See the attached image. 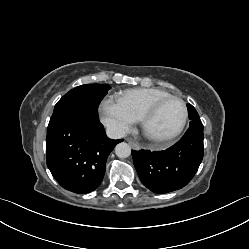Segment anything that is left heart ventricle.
<instances>
[{
  "instance_id": "left-heart-ventricle-1",
  "label": "left heart ventricle",
  "mask_w": 249,
  "mask_h": 249,
  "mask_svg": "<svg viewBox=\"0 0 249 249\" xmlns=\"http://www.w3.org/2000/svg\"><path fill=\"white\" fill-rule=\"evenodd\" d=\"M183 106L178 100H169L162 105L149 121L146 131L154 137H162L172 133L183 117Z\"/></svg>"
}]
</instances>
